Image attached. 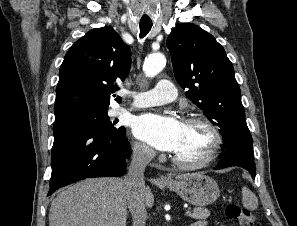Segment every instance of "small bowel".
I'll use <instances>...</instances> for the list:
<instances>
[{"label": "small bowel", "instance_id": "c3829d8e", "mask_svg": "<svg viewBox=\"0 0 297 226\" xmlns=\"http://www.w3.org/2000/svg\"><path fill=\"white\" fill-rule=\"evenodd\" d=\"M193 226H206V225H205V222L200 221V222L195 223Z\"/></svg>", "mask_w": 297, "mask_h": 226}]
</instances>
